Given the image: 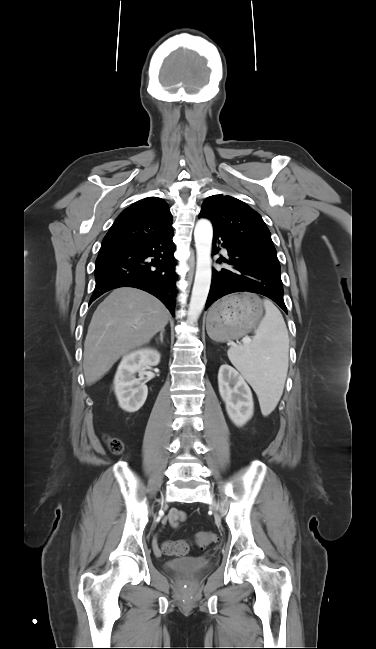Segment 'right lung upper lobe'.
<instances>
[{
	"mask_svg": "<svg viewBox=\"0 0 376 649\" xmlns=\"http://www.w3.org/2000/svg\"><path fill=\"white\" fill-rule=\"evenodd\" d=\"M172 231V215L166 202L148 197L122 211L104 237L99 253L125 248Z\"/></svg>",
	"mask_w": 376,
	"mask_h": 649,
	"instance_id": "right-lung-upper-lobe-1",
	"label": "right lung upper lobe"
}]
</instances>
